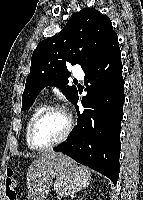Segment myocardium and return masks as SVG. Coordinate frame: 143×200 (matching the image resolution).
I'll return each instance as SVG.
<instances>
[{"label": "myocardium", "mask_w": 143, "mask_h": 200, "mask_svg": "<svg viewBox=\"0 0 143 200\" xmlns=\"http://www.w3.org/2000/svg\"><path fill=\"white\" fill-rule=\"evenodd\" d=\"M52 111H61L63 113L66 114L67 119H68V124H67V128L64 132V134L56 141L47 144V145H40L36 142L35 140V129L37 127V125L40 123V121L50 112ZM74 126V120L72 115L67 111V109L60 105V104H50L45 106L41 112L33 119L30 127H29V131H28V139H29V143L30 145L35 149V150H47V149H51L55 146H58L60 144H62L63 142H65L68 137L70 136L72 129Z\"/></svg>", "instance_id": "f54148a6"}]
</instances>
